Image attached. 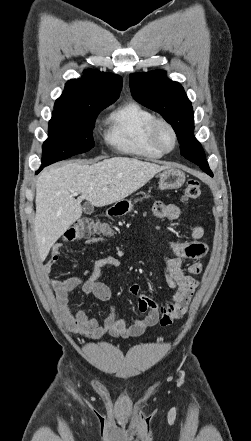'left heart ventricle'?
<instances>
[{
	"label": "left heart ventricle",
	"mask_w": 251,
	"mask_h": 441,
	"mask_svg": "<svg viewBox=\"0 0 251 441\" xmlns=\"http://www.w3.org/2000/svg\"><path fill=\"white\" fill-rule=\"evenodd\" d=\"M159 138L161 141V144L169 149L173 145V136L172 133L167 128H161L159 133Z\"/></svg>",
	"instance_id": "left-heart-ventricle-1"
}]
</instances>
